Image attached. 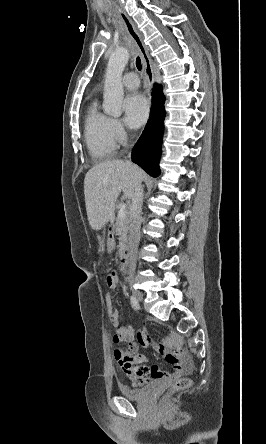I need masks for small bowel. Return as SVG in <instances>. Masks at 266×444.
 Segmentation results:
<instances>
[{
    "mask_svg": "<svg viewBox=\"0 0 266 444\" xmlns=\"http://www.w3.org/2000/svg\"><path fill=\"white\" fill-rule=\"evenodd\" d=\"M106 283L110 288H115L119 283V277L116 272L107 275ZM115 328L113 340L115 343H126L128 352L126 353L120 347L114 350V358L117 362L119 370L125 374L135 386L158 381L164 385L171 384L181 375L189 374L192 370L191 358L181 349L180 340L177 336H169L163 339L160 344L152 342L144 333L139 330L135 332L133 328L124 326L121 323L120 314L114 318H110ZM137 340L138 343L135 341ZM139 345L142 347H152L166 361L173 365L171 372H165L160 367L153 365L147 366L145 357L139 355Z\"/></svg>",
    "mask_w": 266,
    "mask_h": 444,
    "instance_id": "c3829d8e",
    "label": "small bowel"
}]
</instances>
